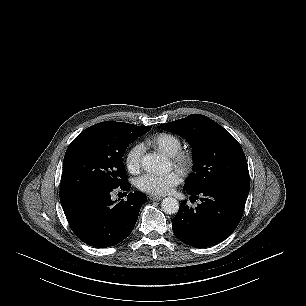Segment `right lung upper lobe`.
Masks as SVG:
<instances>
[{"label":"right lung upper lobe","mask_w":306,"mask_h":306,"mask_svg":"<svg viewBox=\"0 0 306 306\" xmlns=\"http://www.w3.org/2000/svg\"><path fill=\"white\" fill-rule=\"evenodd\" d=\"M114 123H118V122H114ZM118 124L125 126V127H130V128H144V127H140V126H136L134 124H128V123H118Z\"/></svg>","instance_id":"1"}]
</instances>
